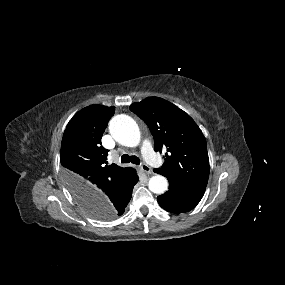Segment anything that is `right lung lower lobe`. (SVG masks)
I'll list each match as a JSON object with an SVG mask.
<instances>
[{"label": "right lung lower lobe", "mask_w": 285, "mask_h": 285, "mask_svg": "<svg viewBox=\"0 0 285 285\" xmlns=\"http://www.w3.org/2000/svg\"><path fill=\"white\" fill-rule=\"evenodd\" d=\"M139 178L135 170L132 169L130 175L119 185L106 191L105 195L93 197L89 202L90 207H107L113 214L121 216L128 205L134 185Z\"/></svg>", "instance_id": "98d812e1"}]
</instances>
